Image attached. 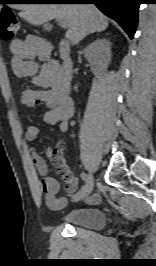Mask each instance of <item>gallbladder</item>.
<instances>
[{
	"label": "gallbladder",
	"instance_id": "obj_1",
	"mask_svg": "<svg viewBox=\"0 0 156 266\" xmlns=\"http://www.w3.org/2000/svg\"><path fill=\"white\" fill-rule=\"evenodd\" d=\"M44 29H45V30H50V26H49L48 24H45V25H44Z\"/></svg>",
	"mask_w": 156,
	"mask_h": 266
}]
</instances>
